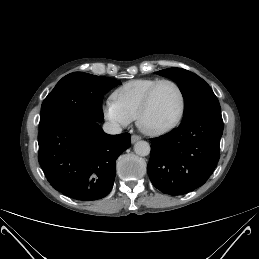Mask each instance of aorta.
Returning a JSON list of instances; mask_svg holds the SVG:
<instances>
[{"mask_svg": "<svg viewBox=\"0 0 259 259\" xmlns=\"http://www.w3.org/2000/svg\"><path fill=\"white\" fill-rule=\"evenodd\" d=\"M134 152L139 156H147L150 154V145L146 141H138L134 145Z\"/></svg>", "mask_w": 259, "mask_h": 259, "instance_id": "aorta-1", "label": "aorta"}]
</instances>
